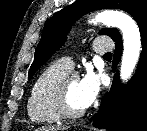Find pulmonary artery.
I'll use <instances>...</instances> for the list:
<instances>
[{"mask_svg": "<svg viewBox=\"0 0 147 131\" xmlns=\"http://www.w3.org/2000/svg\"><path fill=\"white\" fill-rule=\"evenodd\" d=\"M93 50L98 54L107 53L112 50L113 43L109 39H96L93 42ZM67 69L71 70L73 68V62L70 58L66 57L60 61Z\"/></svg>", "mask_w": 147, "mask_h": 131, "instance_id": "pulmonary-artery-1", "label": "pulmonary artery"}]
</instances>
